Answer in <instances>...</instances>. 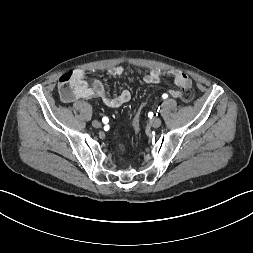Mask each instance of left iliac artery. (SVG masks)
Listing matches in <instances>:
<instances>
[{
  "label": "left iliac artery",
  "instance_id": "44dca946",
  "mask_svg": "<svg viewBox=\"0 0 253 253\" xmlns=\"http://www.w3.org/2000/svg\"><path fill=\"white\" fill-rule=\"evenodd\" d=\"M162 98H163V99L167 98V95H166V94H163V95H162Z\"/></svg>",
  "mask_w": 253,
  "mask_h": 253
}]
</instances>
